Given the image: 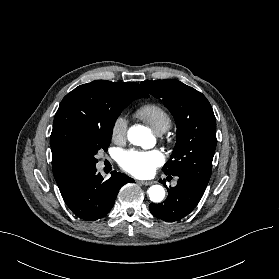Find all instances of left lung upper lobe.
<instances>
[{
  "mask_svg": "<svg viewBox=\"0 0 279 279\" xmlns=\"http://www.w3.org/2000/svg\"><path fill=\"white\" fill-rule=\"evenodd\" d=\"M141 85L161 98L177 125V141L166 175L189 176L208 184L217 144L216 121L206 97L175 79L144 81Z\"/></svg>",
  "mask_w": 279,
  "mask_h": 279,
  "instance_id": "5c2ea615",
  "label": "left lung upper lobe"
}]
</instances>
